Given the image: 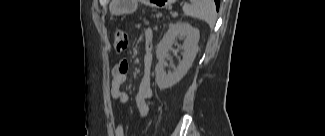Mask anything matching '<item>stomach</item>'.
<instances>
[{
	"label": "stomach",
	"mask_w": 325,
	"mask_h": 136,
	"mask_svg": "<svg viewBox=\"0 0 325 136\" xmlns=\"http://www.w3.org/2000/svg\"><path fill=\"white\" fill-rule=\"evenodd\" d=\"M147 4L155 8H167L174 0H146ZM137 0H112V13L129 14L136 10Z\"/></svg>",
	"instance_id": "stomach-1"
}]
</instances>
